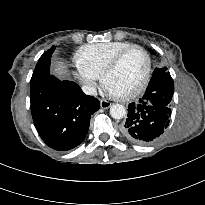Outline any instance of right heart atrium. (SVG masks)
Masks as SVG:
<instances>
[{"label": "right heart atrium", "instance_id": "1", "mask_svg": "<svg viewBox=\"0 0 205 205\" xmlns=\"http://www.w3.org/2000/svg\"><path fill=\"white\" fill-rule=\"evenodd\" d=\"M75 77L80 81V83L85 87V89L92 93L94 92L99 77L84 69L83 67L76 65Z\"/></svg>", "mask_w": 205, "mask_h": 205}]
</instances>
